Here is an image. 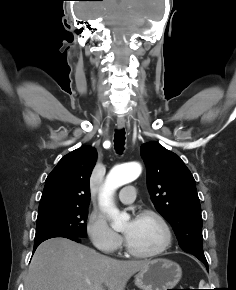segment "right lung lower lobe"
<instances>
[{"label": "right lung lower lobe", "mask_w": 236, "mask_h": 290, "mask_svg": "<svg viewBox=\"0 0 236 290\" xmlns=\"http://www.w3.org/2000/svg\"><path fill=\"white\" fill-rule=\"evenodd\" d=\"M68 239H71V240H74L76 242H80V240L78 238H68ZM43 242V241H42ZM41 242H37V243H34V250L38 247V245L40 244Z\"/></svg>", "instance_id": "obj_1"}]
</instances>
